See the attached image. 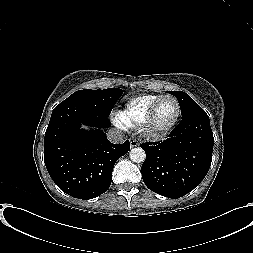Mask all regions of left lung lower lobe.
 <instances>
[{
  "label": "left lung lower lobe",
  "instance_id": "obj_1",
  "mask_svg": "<svg viewBox=\"0 0 253 253\" xmlns=\"http://www.w3.org/2000/svg\"><path fill=\"white\" fill-rule=\"evenodd\" d=\"M214 138L208 115L183 117L164 141L141 144L145 185L153 192L180 198L204 179L211 165Z\"/></svg>",
  "mask_w": 253,
  "mask_h": 253
}]
</instances>
